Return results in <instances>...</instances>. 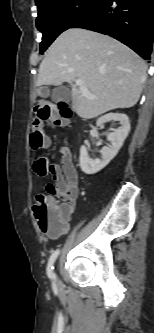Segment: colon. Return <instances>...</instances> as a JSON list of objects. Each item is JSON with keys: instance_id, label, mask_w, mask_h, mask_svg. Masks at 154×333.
<instances>
[{"instance_id": "colon-1", "label": "colon", "mask_w": 154, "mask_h": 333, "mask_svg": "<svg viewBox=\"0 0 154 333\" xmlns=\"http://www.w3.org/2000/svg\"><path fill=\"white\" fill-rule=\"evenodd\" d=\"M35 118L31 134V146L34 150L44 148L48 144L47 137L43 131V121L50 119L54 126H64L66 120L62 118H50V110L42 103H37ZM50 168L46 156L40 154L33 158L32 169L39 176L48 174ZM33 213L38 222L40 230L50 236L59 234L67 225V210L62 204L57 203L51 196L40 194L33 205Z\"/></svg>"}]
</instances>
